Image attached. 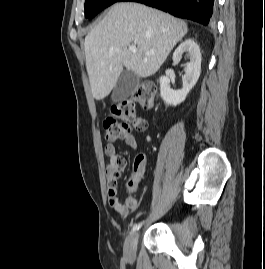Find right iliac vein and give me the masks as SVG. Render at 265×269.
Returning <instances> with one entry per match:
<instances>
[{
  "instance_id": "63e3f726",
  "label": "right iliac vein",
  "mask_w": 265,
  "mask_h": 269,
  "mask_svg": "<svg viewBox=\"0 0 265 269\" xmlns=\"http://www.w3.org/2000/svg\"><path fill=\"white\" fill-rule=\"evenodd\" d=\"M139 238V232L132 233L126 240L124 246V256L128 260H134L136 256V246Z\"/></svg>"
}]
</instances>
